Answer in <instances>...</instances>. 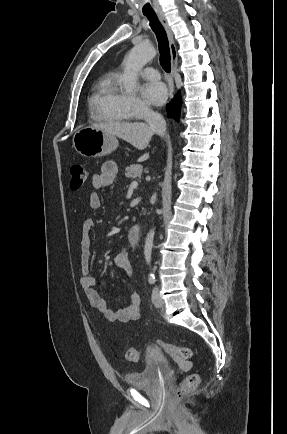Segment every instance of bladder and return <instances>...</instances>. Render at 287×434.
I'll use <instances>...</instances> for the list:
<instances>
[{
	"label": "bladder",
	"instance_id": "31cf9c89",
	"mask_svg": "<svg viewBox=\"0 0 287 434\" xmlns=\"http://www.w3.org/2000/svg\"><path fill=\"white\" fill-rule=\"evenodd\" d=\"M171 371L169 360L160 352H148L144 363L137 369L125 375V383L129 386L151 387L160 378L168 375Z\"/></svg>",
	"mask_w": 287,
	"mask_h": 434
}]
</instances>
